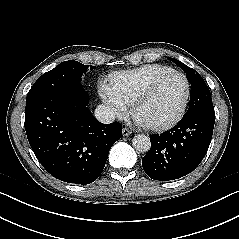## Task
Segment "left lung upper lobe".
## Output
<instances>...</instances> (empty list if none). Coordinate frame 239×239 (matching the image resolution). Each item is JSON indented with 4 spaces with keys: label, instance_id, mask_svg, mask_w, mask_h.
I'll return each instance as SVG.
<instances>
[{
    "label": "left lung upper lobe",
    "instance_id": "5c2ea615",
    "mask_svg": "<svg viewBox=\"0 0 239 239\" xmlns=\"http://www.w3.org/2000/svg\"><path fill=\"white\" fill-rule=\"evenodd\" d=\"M169 60L178 65L186 73V77L191 83L190 104L187 113L200 108L213 107L209 88L200 74L177 59L169 58Z\"/></svg>",
    "mask_w": 239,
    "mask_h": 239
}]
</instances>
